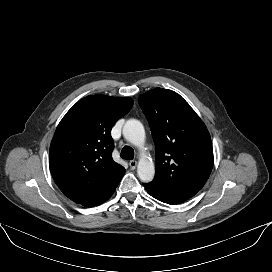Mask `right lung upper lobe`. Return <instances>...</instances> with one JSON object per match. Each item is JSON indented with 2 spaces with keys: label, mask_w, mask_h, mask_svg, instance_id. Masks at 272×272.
I'll return each mask as SVG.
<instances>
[{
  "label": "right lung upper lobe",
  "mask_w": 272,
  "mask_h": 272,
  "mask_svg": "<svg viewBox=\"0 0 272 272\" xmlns=\"http://www.w3.org/2000/svg\"><path fill=\"white\" fill-rule=\"evenodd\" d=\"M132 104L131 98L87 96L57 126L50 145V171L62 193L75 203L92 198L125 171L112 159L110 132Z\"/></svg>",
  "instance_id": "1"
}]
</instances>
